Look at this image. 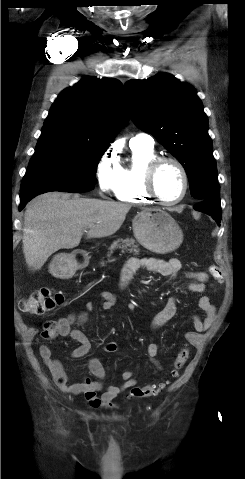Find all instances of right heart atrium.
<instances>
[{"instance_id":"1","label":"right heart atrium","mask_w":245,"mask_h":479,"mask_svg":"<svg viewBox=\"0 0 245 479\" xmlns=\"http://www.w3.org/2000/svg\"><path fill=\"white\" fill-rule=\"evenodd\" d=\"M119 173L120 165L117 156L113 151H108L96 167L97 185L102 194L115 193Z\"/></svg>"}]
</instances>
